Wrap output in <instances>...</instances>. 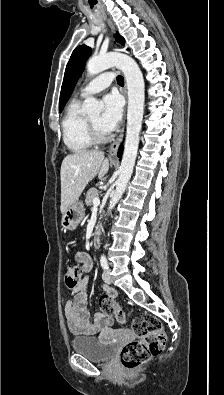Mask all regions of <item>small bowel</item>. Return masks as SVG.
<instances>
[{
	"mask_svg": "<svg viewBox=\"0 0 224 395\" xmlns=\"http://www.w3.org/2000/svg\"><path fill=\"white\" fill-rule=\"evenodd\" d=\"M77 260L81 263L84 272H88L91 269L92 261L88 254L79 253ZM88 284V277H82L74 287L73 297L64 306L68 328L75 335H97L109 330L112 325V320L102 312L91 315L86 303ZM101 289L112 297L117 296V292L107 285H102Z\"/></svg>",
	"mask_w": 224,
	"mask_h": 395,
	"instance_id": "small-bowel-1",
	"label": "small bowel"
}]
</instances>
